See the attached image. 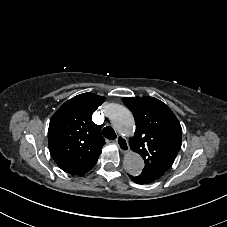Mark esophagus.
I'll return each mask as SVG.
<instances>
[{"label":"esophagus","mask_w":227,"mask_h":227,"mask_svg":"<svg viewBox=\"0 0 227 227\" xmlns=\"http://www.w3.org/2000/svg\"><path fill=\"white\" fill-rule=\"evenodd\" d=\"M116 144H117L118 148L120 149V151L123 153H127L130 149L127 139L125 137H123L122 135L117 136Z\"/></svg>","instance_id":"obj_1"}]
</instances>
